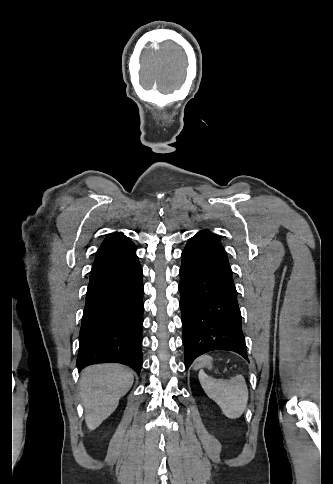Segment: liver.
Returning <instances> with one entry per match:
<instances>
[{
  "label": "liver",
  "mask_w": 333,
  "mask_h": 484,
  "mask_svg": "<svg viewBox=\"0 0 333 484\" xmlns=\"http://www.w3.org/2000/svg\"><path fill=\"white\" fill-rule=\"evenodd\" d=\"M132 384V373L119 364L93 365L82 371L80 390L89 430L96 429L113 413Z\"/></svg>",
  "instance_id": "1"
}]
</instances>
